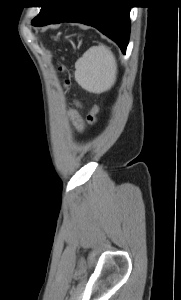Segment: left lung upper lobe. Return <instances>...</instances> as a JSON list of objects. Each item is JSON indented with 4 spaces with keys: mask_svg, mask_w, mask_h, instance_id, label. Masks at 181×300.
Returning <instances> with one entry per match:
<instances>
[{
    "mask_svg": "<svg viewBox=\"0 0 181 300\" xmlns=\"http://www.w3.org/2000/svg\"><path fill=\"white\" fill-rule=\"evenodd\" d=\"M55 0H47V4L42 7L40 13L32 20V25L37 26L42 18L47 14Z\"/></svg>",
    "mask_w": 181,
    "mask_h": 300,
    "instance_id": "obj_1",
    "label": "left lung upper lobe"
}]
</instances>
